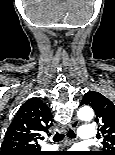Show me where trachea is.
I'll list each match as a JSON object with an SVG mask.
<instances>
[{
    "instance_id": "obj_1",
    "label": "trachea",
    "mask_w": 115,
    "mask_h": 155,
    "mask_svg": "<svg viewBox=\"0 0 115 155\" xmlns=\"http://www.w3.org/2000/svg\"><path fill=\"white\" fill-rule=\"evenodd\" d=\"M67 136L71 139L76 138V134L71 129H69ZM63 138H64V134L57 132L53 137V141L55 143L60 142L61 140H63Z\"/></svg>"
}]
</instances>
